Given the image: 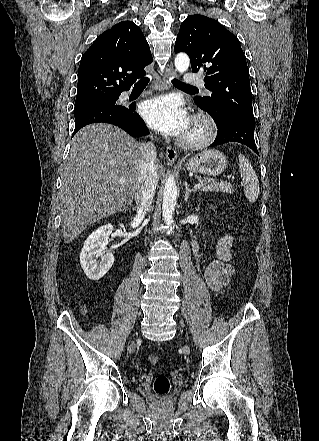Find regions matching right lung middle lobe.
Segmentation results:
<instances>
[{
  "mask_svg": "<svg viewBox=\"0 0 319 441\" xmlns=\"http://www.w3.org/2000/svg\"><path fill=\"white\" fill-rule=\"evenodd\" d=\"M118 99V96L110 97V98H104V99H98V100H90V101H77L75 102V108L74 112H77L81 109L94 106V105H107V104H114L116 103Z\"/></svg>",
  "mask_w": 319,
  "mask_h": 441,
  "instance_id": "dd1d6c3e",
  "label": "right lung middle lobe"
}]
</instances>
